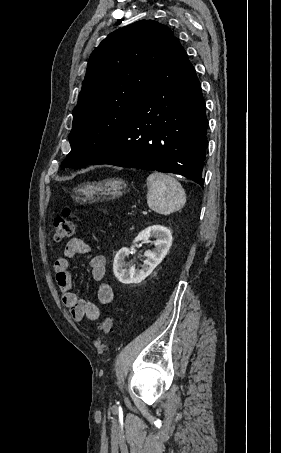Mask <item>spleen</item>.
<instances>
[{
  "label": "spleen",
  "instance_id": "1",
  "mask_svg": "<svg viewBox=\"0 0 281 453\" xmlns=\"http://www.w3.org/2000/svg\"><path fill=\"white\" fill-rule=\"evenodd\" d=\"M147 188V204L159 214H171L186 202L180 182L170 174L152 172L147 176Z\"/></svg>",
  "mask_w": 281,
  "mask_h": 453
}]
</instances>
